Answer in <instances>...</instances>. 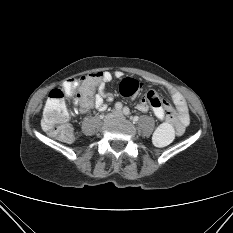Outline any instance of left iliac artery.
Masks as SVG:
<instances>
[{
    "label": "left iliac artery",
    "mask_w": 233,
    "mask_h": 233,
    "mask_svg": "<svg viewBox=\"0 0 233 233\" xmlns=\"http://www.w3.org/2000/svg\"><path fill=\"white\" fill-rule=\"evenodd\" d=\"M123 113H124L125 115H129V113H130L129 108H128V107H124V108H123Z\"/></svg>",
    "instance_id": "left-iliac-artery-1"
}]
</instances>
